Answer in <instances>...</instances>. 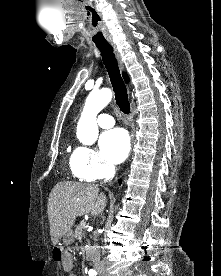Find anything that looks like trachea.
I'll return each mask as SVG.
<instances>
[{"instance_id":"1","label":"trachea","mask_w":221,"mask_h":276,"mask_svg":"<svg viewBox=\"0 0 221 276\" xmlns=\"http://www.w3.org/2000/svg\"><path fill=\"white\" fill-rule=\"evenodd\" d=\"M101 33H98L99 35ZM97 48L101 52V56L107 72L110 77V81L115 93V100L120 110L125 113H130V103L128 101L127 89L124 81L121 77L115 54L113 53V47L107 42H95Z\"/></svg>"}]
</instances>
